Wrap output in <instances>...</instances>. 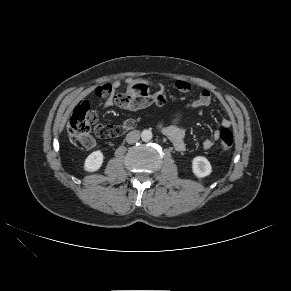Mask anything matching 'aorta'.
I'll use <instances>...</instances> for the list:
<instances>
[{"label":"aorta","instance_id":"762f6f07","mask_svg":"<svg viewBox=\"0 0 291 291\" xmlns=\"http://www.w3.org/2000/svg\"><path fill=\"white\" fill-rule=\"evenodd\" d=\"M152 132L151 130H143L141 133V138L143 141L147 142L150 141L152 139Z\"/></svg>","mask_w":291,"mask_h":291}]
</instances>
